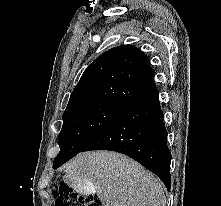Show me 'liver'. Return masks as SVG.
<instances>
[{"mask_svg":"<svg viewBox=\"0 0 221 206\" xmlns=\"http://www.w3.org/2000/svg\"><path fill=\"white\" fill-rule=\"evenodd\" d=\"M65 179L77 192L91 188L104 206H166L164 191L156 177L139 163L116 152L78 154L65 166ZM82 183L90 185L83 187Z\"/></svg>","mask_w":221,"mask_h":206,"instance_id":"obj_1","label":"liver"}]
</instances>
